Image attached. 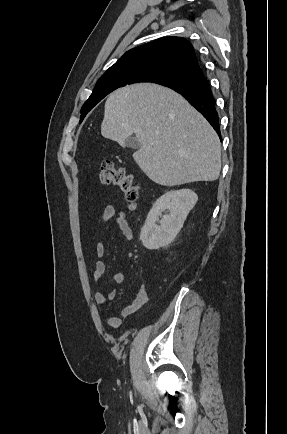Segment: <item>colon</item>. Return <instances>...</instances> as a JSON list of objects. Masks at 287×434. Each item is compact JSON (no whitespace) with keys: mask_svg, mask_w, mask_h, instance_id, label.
I'll use <instances>...</instances> for the list:
<instances>
[{"mask_svg":"<svg viewBox=\"0 0 287 434\" xmlns=\"http://www.w3.org/2000/svg\"><path fill=\"white\" fill-rule=\"evenodd\" d=\"M100 180L105 185L119 189L131 207L136 205L141 186L123 168H116L110 161L103 162L100 167Z\"/></svg>","mask_w":287,"mask_h":434,"instance_id":"1","label":"colon"}]
</instances>
